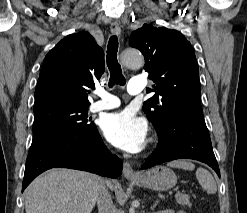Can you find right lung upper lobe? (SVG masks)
<instances>
[{
	"label": "right lung upper lobe",
	"instance_id": "right-lung-upper-lobe-1",
	"mask_svg": "<svg viewBox=\"0 0 247 213\" xmlns=\"http://www.w3.org/2000/svg\"><path fill=\"white\" fill-rule=\"evenodd\" d=\"M104 70V52L91 34L66 36L44 59L33 110L54 102L89 105L88 88L94 87Z\"/></svg>",
	"mask_w": 247,
	"mask_h": 213
}]
</instances>
